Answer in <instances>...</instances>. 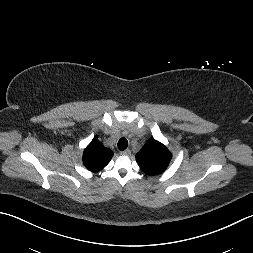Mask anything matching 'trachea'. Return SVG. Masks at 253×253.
<instances>
[{
    "instance_id": "obj_1",
    "label": "trachea",
    "mask_w": 253,
    "mask_h": 253,
    "mask_svg": "<svg viewBox=\"0 0 253 253\" xmlns=\"http://www.w3.org/2000/svg\"><path fill=\"white\" fill-rule=\"evenodd\" d=\"M118 149L119 150H125L128 146V141L126 138H121L119 141H118Z\"/></svg>"
}]
</instances>
